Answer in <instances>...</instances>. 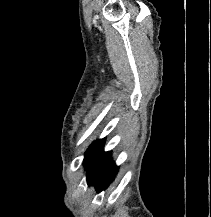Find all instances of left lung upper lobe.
<instances>
[{
  "label": "left lung upper lobe",
  "mask_w": 211,
  "mask_h": 217,
  "mask_svg": "<svg viewBox=\"0 0 211 217\" xmlns=\"http://www.w3.org/2000/svg\"><path fill=\"white\" fill-rule=\"evenodd\" d=\"M105 139L93 142V144L88 148L85 153L84 165L85 167L92 161V159L97 155V153L103 148Z\"/></svg>",
  "instance_id": "5c2ea615"
}]
</instances>
